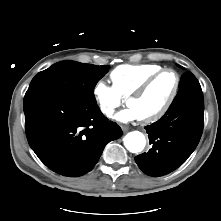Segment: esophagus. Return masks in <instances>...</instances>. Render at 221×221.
<instances>
[{
    "mask_svg": "<svg viewBox=\"0 0 221 221\" xmlns=\"http://www.w3.org/2000/svg\"><path fill=\"white\" fill-rule=\"evenodd\" d=\"M122 130H123V132H127L129 130V128L127 126L123 125Z\"/></svg>",
    "mask_w": 221,
    "mask_h": 221,
    "instance_id": "34e87169",
    "label": "esophagus"
}]
</instances>
